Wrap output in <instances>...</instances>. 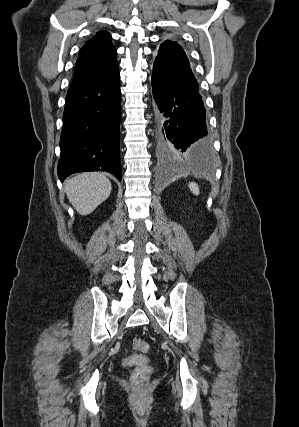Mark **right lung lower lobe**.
<instances>
[{
    "label": "right lung lower lobe",
    "instance_id": "obj_1",
    "mask_svg": "<svg viewBox=\"0 0 299 427\" xmlns=\"http://www.w3.org/2000/svg\"><path fill=\"white\" fill-rule=\"evenodd\" d=\"M121 93L119 71L67 92L58 176L108 171L122 178L119 150Z\"/></svg>",
    "mask_w": 299,
    "mask_h": 427
}]
</instances>
